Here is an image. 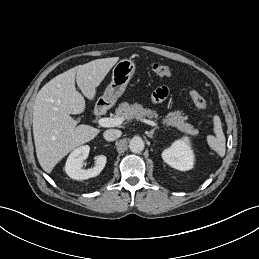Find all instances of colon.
<instances>
[{"label":"colon","mask_w":259,"mask_h":259,"mask_svg":"<svg viewBox=\"0 0 259 259\" xmlns=\"http://www.w3.org/2000/svg\"><path fill=\"white\" fill-rule=\"evenodd\" d=\"M152 71L155 75L159 77H169L172 75V69L165 65L156 63L152 66ZM190 98L195 106L200 110H207L209 108V103L207 100L195 89L190 90Z\"/></svg>","instance_id":"colon-1"}]
</instances>
